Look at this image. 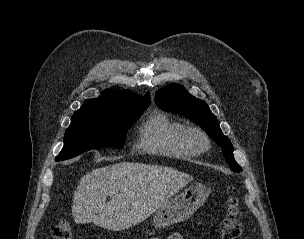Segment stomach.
I'll use <instances>...</instances> for the list:
<instances>
[{
    "mask_svg": "<svg viewBox=\"0 0 304 239\" xmlns=\"http://www.w3.org/2000/svg\"><path fill=\"white\" fill-rule=\"evenodd\" d=\"M209 193L210 189L205 184L191 185L157 209L153 224L157 228H164L188 219L207 200Z\"/></svg>",
    "mask_w": 304,
    "mask_h": 239,
    "instance_id": "stomach-1",
    "label": "stomach"
}]
</instances>
